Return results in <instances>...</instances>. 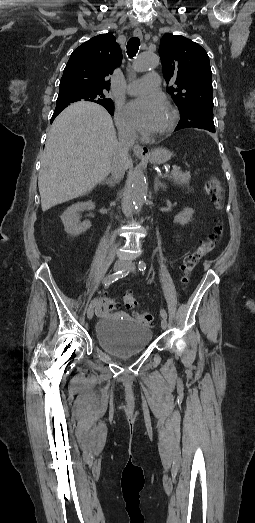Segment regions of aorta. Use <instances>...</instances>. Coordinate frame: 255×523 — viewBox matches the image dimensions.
<instances>
[{"instance_id":"obj_1","label":"aorta","mask_w":255,"mask_h":523,"mask_svg":"<svg viewBox=\"0 0 255 523\" xmlns=\"http://www.w3.org/2000/svg\"><path fill=\"white\" fill-rule=\"evenodd\" d=\"M158 55L150 52L142 53L133 63L135 72L151 70L159 65ZM147 184L143 170L138 167L134 170L131 177V198L137 209H140L146 199Z\"/></svg>"}]
</instances>
